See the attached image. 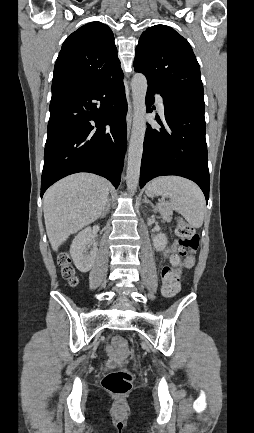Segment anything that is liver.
Wrapping results in <instances>:
<instances>
[{
	"instance_id": "6515ba94",
	"label": "liver",
	"mask_w": 254,
	"mask_h": 433,
	"mask_svg": "<svg viewBox=\"0 0 254 433\" xmlns=\"http://www.w3.org/2000/svg\"><path fill=\"white\" fill-rule=\"evenodd\" d=\"M109 186L97 175L68 176L44 195L43 210L47 236L54 251L73 233L97 220L107 203Z\"/></svg>"
}]
</instances>
